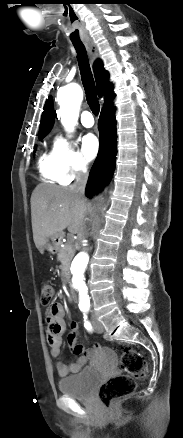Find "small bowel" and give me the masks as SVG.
I'll use <instances>...</instances> for the list:
<instances>
[{"mask_svg":"<svg viewBox=\"0 0 183 438\" xmlns=\"http://www.w3.org/2000/svg\"><path fill=\"white\" fill-rule=\"evenodd\" d=\"M77 328V323L71 322L68 334L69 347L77 355V359L70 364L58 361L56 370L60 376L78 373L101 348L99 344H95L92 348H85L79 344L77 342ZM64 331V309L60 304L55 303L48 308L46 315L47 341L54 358L61 357Z\"/></svg>","mask_w":183,"mask_h":438,"instance_id":"1","label":"small bowel"}]
</instances>
